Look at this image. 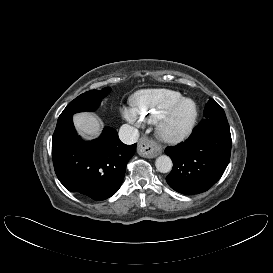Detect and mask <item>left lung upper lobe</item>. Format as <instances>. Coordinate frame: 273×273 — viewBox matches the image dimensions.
I'll use <instances>...</instances> for the list:
<instances>
[{
	"mask_svg": "<svg viewBox=\"0 0 273 273\" xmlns=\"http://www.w3.org/2000/svg\"><path fill=\"white\" fill-rule=\"evenodd\" d=\"M227 119L224 110L213 99L205 105L204 120Z\"/></svg>",
	"mask_w": 273,
	"mask_h": 273,
	"instance_id": "obj_1",
	"label": "left lung upper lobe"
}]
</instances>
